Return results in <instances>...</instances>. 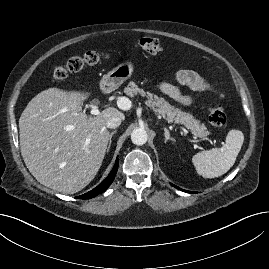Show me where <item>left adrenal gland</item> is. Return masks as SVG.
<instances>
[{
  "label": "left adrenal gland",
  "mask_w": 269,
  "mask_h": 269,
  "mask_svg": "<svg viewBox=\"0 0 269 269\" xmlns=\"http://www.w3.org/2000/svg\"><path fill=\"white\" fill-rule=\"evenodd\" d=\"M164 135H165V143L168 140L175 141L174 138L170 137V133H169V130L167 128H164Z\"/></svg>",
  "instance_id": "obj_1"
}]
</instances>
